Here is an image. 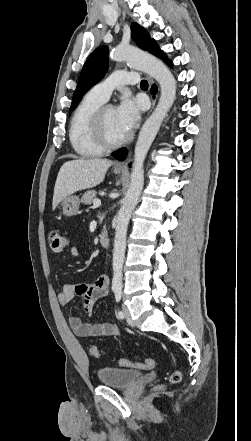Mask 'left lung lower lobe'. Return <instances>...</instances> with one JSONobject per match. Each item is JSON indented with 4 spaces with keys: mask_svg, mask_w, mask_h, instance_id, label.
Segmentation results:
<instances>
[{
    "mask_svg": "<svg viewBox=\"0 0 251 441\" xmlns=\"http://www.w3.org/2000/svg\"><path fill=\"white\" fill-rule=\"evenodd\" d=\"M161 59H163L168 65L172 66V62L169 59H167L165 55ZM156 93H157V87L153 85L151 88V94H156ZM126 154H127V149L121 148L115 152L114 157L118 160H123L126 157Z\"/></svg>",
    "mask_w": 251,
    "mask_h": 441,
    "instance_id": "obj_1",
    "label": "left lung lower lobe"
}]
</instances>
